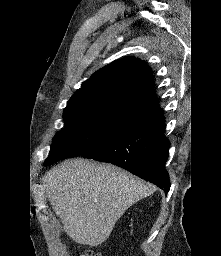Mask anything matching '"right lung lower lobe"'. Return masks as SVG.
Masks as SVG:
<instances>
[{
	"label": "right lung lower lobe",
	"instance_id": "98d812e1",
	"mask_svg": "<svg viewBox=\"0 0 221 256\" xmlns=\"http://www.w3.org/2000/svg\"><path fill=\"white\" fill-rule=\"evenodd\" d=\"M164 130V116L160 115L109 137L81 156L117 165L168 192L165 163L170 143Z\"/></svg>",
	"mask_w": 221,
	"mask_h": 256
}]
</instances>
